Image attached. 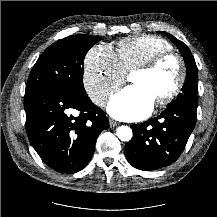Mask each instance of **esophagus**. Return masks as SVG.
Returning a JSON list of instances; mask_svg holds the SVG:
<instances>
[{
  "mask_svg": "<svg viewBox=\"0 0 217 217\" xmlns=\"http://www.w3.org/2000/svg\"><path fill=\"white\" fill-rule=\"evenodd\" d=\"M118 125V122L114 120H110V127H116Z\"/></svg>",
  "mask_w": 217,
  "mask_h": 217,
  "instance_id": "1",
  "label": "esophagus"
}]
</instances>
